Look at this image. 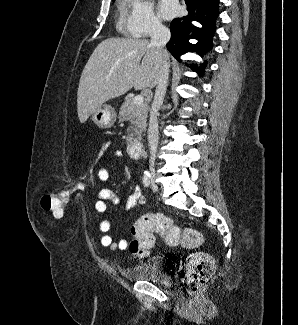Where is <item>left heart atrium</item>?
Here are the masks:
<instances>
[{
	"mask_svg": "<svg viewBox=\"0 0 298 325\" xmlns=\"http://www.w3.org/2000/svg\"><path fill=\"white\" fill-rule=\"evenodd\" d=\"M179 12V5L176 0H162L160 2V15L164 19H171Z\"/></svg>",
	"mask_w": 298,
	"mask_h": 325,
	"instance_id": "39dd6f15",
	"label": "left heart atrium"
}]
</instances>
